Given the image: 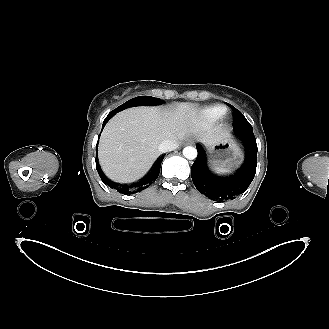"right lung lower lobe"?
I'll return each mask as SVG.
<instances>
[{
  "label": "right lung lower lobe",
  "mask_w": 329,
  "mask_h": 329,
  "mask_svg": "<svg viewBox=\"0 0 329 329\" xmlns=\"http://www.w3.org/2000/svg\"><path fill=\"white\" fill-rule=\"evenodd\" d=\"M113 116H114L113 114H108V116L106 117V119L103 122L102 130H103L104 126L106 125V123L108 122V120ZM97 149H98V142L96 145V169L98 171L99 176L101 177L102 181L105 184L109 185V187L112 189H117L119 191V193H121V194H130L133 191H141V190L145 189L146 187H149V185H151L157 179L159 172H160L161 162L164 159V155H161L157 159V161L155 162V164L153 165L151 170L147 173V175H145L138 182H135V183L129 184V185L128 184L122 185V184H118V183L111 181L101 171V168L98 163Z\"/></svg>",
  "instance_id": "1"
}]
</instances>
